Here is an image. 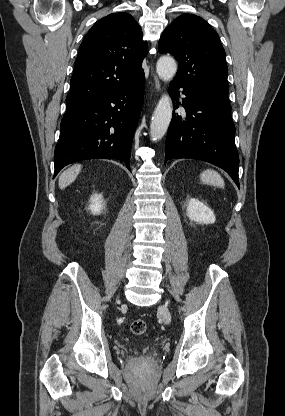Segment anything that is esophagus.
I'll use <instances>...</instances> for the list:
<instances>
[{
  "label": "esophagus",
  "instance_id": "34e87169",
  "mask_svg": "<svg viewBox=\"0 0 285 416\" xmlns=\"http://www.w3.org/2000/svg\"><path fill=\"white\" fill-rule=\"evenodd\" d=\"M152 77H153L155 88L160 93L161 92V85H160L159 79L157 78V76L154 73L152 74Z\"/></svg>",
  "mask_w": 285,
  "mask_h": 416
}]
</instances>
